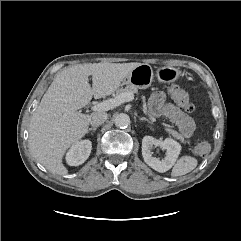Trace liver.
Here are the masks:
<instances>
[{
    "mask_svg": "<svg viewBox=\"0 0 241 241\" xmlns=\"http://www.w3.org/2000/svg\"><path fill=\"white\" fill-rule=\"evenodd\" d=\"M140 64H78L57 74L30 120L29 148L36 160L50 172L66 175L63 156L84 137L89 126L90 116L77 110L89 104L93 96L99 99L115 92Z\"/></svg>",
    "mask_w": 241,
    "mask_h": 241,
    "instance_id": "1",
    "label": "liver"
}]
</instances>
